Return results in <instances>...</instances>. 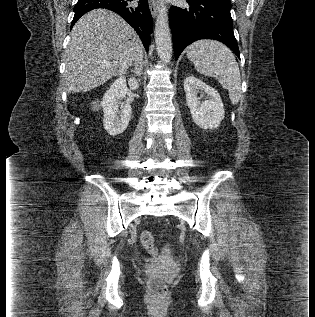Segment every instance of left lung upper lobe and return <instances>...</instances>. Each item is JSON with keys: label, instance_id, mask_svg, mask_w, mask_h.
Here are the masks:
<instances>
[{"label": "left lung upper lobe", "instance_id": "left-lung-upper-lobe-1", "mask_svg": "<svg viewBox=\"0 0 315 317\" xmlns=\"http://www.w3.org/2000/svg\"><path fill=\"white\" fill-rule=\"evenodd\" d=\"M221 1H227V2H230V0H221Z\"/></svg>", "mask_w": 315, "mask_h": 317}]
</instances>
